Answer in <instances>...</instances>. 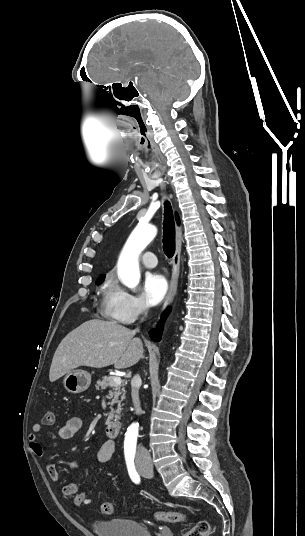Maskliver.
<instances>
[{"label": "liver", "instance_id": "6515ba94", "mask_svg": "<svg viewBox=\"0 0 305 536\" xmlns=\"http://www.w3.org/2000/svg\"><path fill=\"white\" fill-rule=\"evenodd\" d=\"M134 332L111 322L89 320L67 334L59 344L49 372L50 382H56L79 366L122 370L139 362L143 356L140 338Z\"/></svg>", "mask_w": 305, "mask_h": 536}]
</instances>
